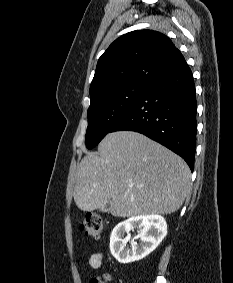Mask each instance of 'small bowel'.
I'll return each mask as SVG.
<instances>
[{"label": "small bowel", "instance_id": "obj_1", "mask_svg": "<svg viewBox=\"0 0 233 283\" xmlns=\"http://www.w3.org/2000/svg\"><path fill=\"white\" fill-rule=\"evenodd\" d=\"M103 255L101 253H95L89 258V265L93 269H100L102 266Z\"/></svg>", "mask_w": 233, "mask_h": 283}]
</instances>
